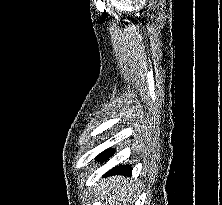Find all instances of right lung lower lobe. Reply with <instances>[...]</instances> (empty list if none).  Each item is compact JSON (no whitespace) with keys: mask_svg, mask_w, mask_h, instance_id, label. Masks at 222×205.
<instances>
[{"mask_svg":"<svg viewBox=\"0 0 222 205\" xmlns=\"http://www.w3.org/2000/svg\"><path fill=\"white\" fill-rule=\"evenodd\" d=\"M114 150L113 149H107L104 152H102L99 156H97L98 161H106L109 157L113 155ZM131 175V166L130 165H123L116 167L114 169H111L109 172H107L106 175Z\"/></svg>","mask_w":222,"mask_h":205,"instance_id":"98d812e1","label":"right lung lower lobe"}]
</instances>
